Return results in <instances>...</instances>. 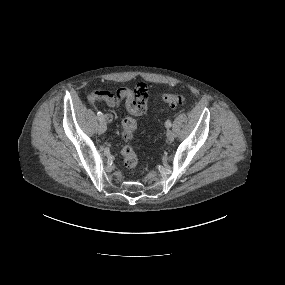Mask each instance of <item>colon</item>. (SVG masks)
I'll use <instances>...</instances> for the list:
<instances>
[{"label": "colon", "mask_w": 285, "mask_h": 285, "mask_svg": "<svg viewBox=\"0 0 285 285\" xmlns=\"http://www.w3.org/2000/svg\"><path fill=\"white\" fill-rule=\"evenodd\" d=\"M146 85L144 83H139L135 92L137 95L143 93ZM161 99L170 106H180L186 102V98L181 93H166L160 95ZM138 127V122L134 117L127 116L121 122V134L124 140L129 141ZM121 155L123 157L124 165L128 169H135L138 165V156L132 146L126 144L121 149Z\"/></svg>", "instance_id": "colon-1"}]
</instances>
